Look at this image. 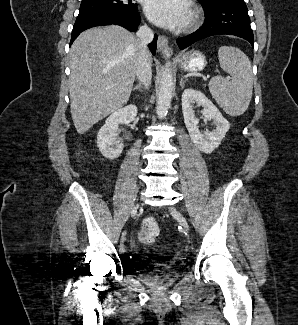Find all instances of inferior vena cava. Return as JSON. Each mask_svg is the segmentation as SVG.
I'll use <instances>...</instances> for the list:
<instances>
[{"mask_svg":"<svg viewBox=\"0 0 298 325\" xmlns=\"http://www.w3.org/2000/svg\"><path fill=\"white\" fill-rule=\"evenodd\" d=\"M136 34L141 44L136 68V76L139 82H143L144 86L150 88L152 82V60L148 44L149 42H152L154 32L151 30V28H149V26L144 24V26H139V30H137Z\"/></svg>","mask_w":298,"mask_h":325,"instance_id":"1","label":"inferior vena cava"}]
</instances>
